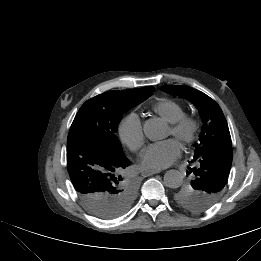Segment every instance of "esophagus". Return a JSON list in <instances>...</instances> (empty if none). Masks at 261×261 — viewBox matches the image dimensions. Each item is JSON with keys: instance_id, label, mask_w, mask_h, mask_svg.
<instances>
[{"instance_id": "34e87169", "label": "esophagus", "mask_w": 261, "mask_h": 261, "mask_svg": "<svg viewBox=\"0 0 261 261\" xmlns=\"http://www.w3.org/2000/svg\"><path fill=\"white\" fill-rule=\"evenodd\" d=\"M159 172H160V170H148V171H143V172H142V176L148 177V176L157 174V173H159Z\"/></svg>"}]
</instances>
